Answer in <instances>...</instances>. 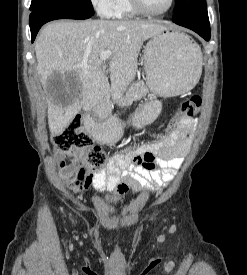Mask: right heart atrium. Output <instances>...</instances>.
<instances>
[{
	"label": "right heart atrium",
	"instance_id": "obj_1",
	"mask_svg": "<svg viewBox=\"0 0 247 275\" xmlns=\"http://www.w3.org/2000/svg\"><path fill=\"white\" fill-rule=\"evenodd\" d=\"M96 11L105 17H110L115 0H90Z\"/></svg>",
	"mask_w": 247,
	"mask_h": 275
}]
</instances>
